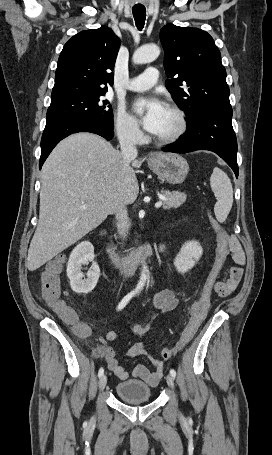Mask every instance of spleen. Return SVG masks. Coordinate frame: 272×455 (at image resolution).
<instances>
[{
    "instance_id": "1",
    "label": "spleen",
    "mask_w": 272,
    "mask_h": 455,
    "mask_svg": "<svg viewBox=\"0 0 272 455\" xmlns=\"http://www.w3.org/2000/svg\"><path fill=\"white\" fill-rule=\"evenodd\" d=\"M211 189L214 192L217 202L214 206L216 219L222 223L226 220L233 204V188L227 174L215 167L210 177Z\"/></svg>"
}]
</instances>
